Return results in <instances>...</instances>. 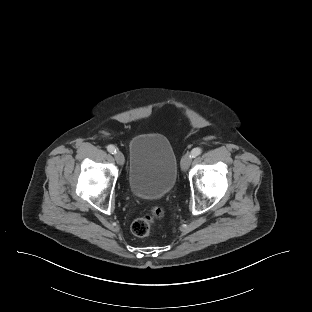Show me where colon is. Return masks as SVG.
I'll list each match as a JSON object with an SVG mask.
<instances>
[{
	"instance_id": "colon-1",
	"label": "colon",
	"mask_w": 312,
	"mask_h": 312,
	"mask_svg": "<svg viewBox=\"0 0 312 312\" xmlns=\"http://www.w3.org/2000/svg\"><path fill=\"white\" fill-rule=\"evenodd\" d=\"M164 210L160 206L151 208L148 214L136 219L131 225L132 233L137 237H148L153 232L155 221L162 219Z\"/></svg>"
}]
</instances>
